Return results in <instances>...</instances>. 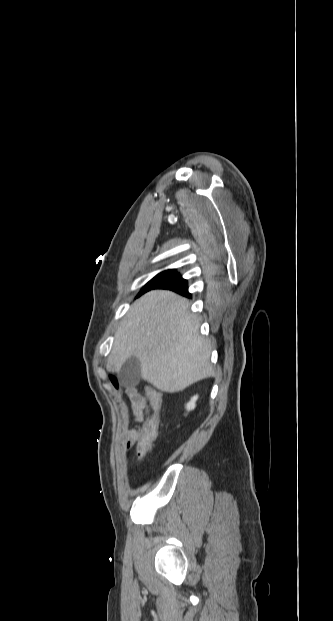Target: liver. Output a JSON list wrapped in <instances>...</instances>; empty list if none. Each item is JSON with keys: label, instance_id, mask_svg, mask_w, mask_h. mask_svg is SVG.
I'll use <instances>...</instances> for the list:
<instances>
[{"label": "liver", "instance_id": "1", "mask_svg": "<svg viewBox=\"0 0 333 621\" xmlns=\"http://www.w3.org/2000/svg\"><path fill=\"white\" fill-rule=\"evenodd\" d=\"M211 351L210 343L199 335L187 299L168 290H152L122 320L107 367L118 372L134 356L145 381L174 393L212 375Z\"/></svg>", "mask_w": 333, "mask_h": 621}]
</instances>
